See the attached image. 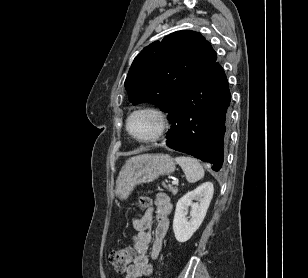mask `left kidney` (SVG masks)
Returning <instances> with one entry per match:
<instances>
[{
  "label": "left kidney",
  "mask_w": 308,
  "mask_h": 278,
  "mask_svg": "<svg viewBox=\"0 0 308 278\" xmlns=\"http://www.w3.org/2000/svg\"><path fill=\"white\" fill-rule=\"evenodd\" d=\"M214 187L211 182H206L186 193L176 204L173 219V231L178 242L188 241L202 224L207 209L213 197ZM196 200V203H193ZM191 206V219L188 221L186 215Z\"/></svg>",
  "instance_id": "5707ae66"
}]
</instances>
